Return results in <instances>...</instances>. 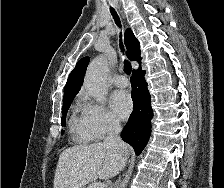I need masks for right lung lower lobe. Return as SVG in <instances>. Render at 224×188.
Returning <instances> with one entry per match:
<instances>
[{
    "label": "right lung lower lobe",
    "mask_w": 224,
    "mask_h": 188,
    "mask_svg": "<svg viewBox=\"0 0 224 188\" xmlns=\"http://www.w3.org/2000/svg\"><path fill=\"white\" fill-rule=\"evenodd\" d=\"M131 77L133 111L128 123L121 133L122 139L129 143L139 155L146 146L151 135V119L153 111L151 109L150 94L145 82V71L141 67L133 70Z\"/></svg>",
    "instance_id": "obj_1"
}]
</instances>
